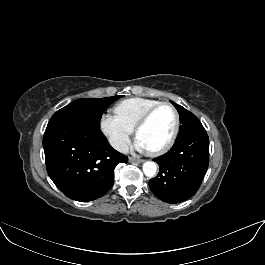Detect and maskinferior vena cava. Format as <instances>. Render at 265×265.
Wrapping results in <instances>:
<instances>
[{
    "instance_id": "1",
    "label": "inferior vena cava",
    "mask_w": 265,
    "mask_h": 265,
    "mask_svg": "<svg viewBox=\"0 0 265 265\" xmlns=\"http://www.w3.org/2000/svg\"><path fill=\"white\" fill-rule=\"evenodd\" d=\"M109 142H110L111 146H112L114 149H116V150H118V151H120V152L125 153V152H127V150H128L127 143H126L125 141L121 140V139L110 138V139H109Z\"/></svg>"
}]
</instances>
